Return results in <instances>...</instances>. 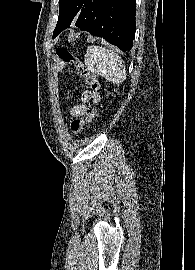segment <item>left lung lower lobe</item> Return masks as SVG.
<instances>
[{"instance_id":"1","label":"left lung lower lobe","mask_w":195,"mask_h":270,"mask_svg":"<svg viewBox=\"0 0 195 270\" xmlns=\"http://www.w3.org/2000/svg\"><path fill=\"white\" fill-rule=\"evenodd\" d=\"M135 14V0H85L73 23L127 51L133 46Z\"/></svg>"}]
</instances>
